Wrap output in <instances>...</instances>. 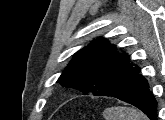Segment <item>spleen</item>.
Instances as JSON below:
<instances>
[{
  "label": "spleen",
  "mask_w": 165,
  "mask_h": 120,
  "mask_svg": "<svg viewBox=\"0 0 165 120\" xmlns=\"http://www.w3.org/2000/svg\"><path fill=\"white\" fill-rule=\"evenodd\" d=\"M105 120H148L140 111L131 107H110L104 110Z\"/></svg>",
  "instance_id": "obj_1"
}]
</instances>
